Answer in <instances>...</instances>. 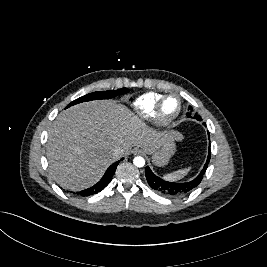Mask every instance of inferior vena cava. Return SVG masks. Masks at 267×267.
<instances>
[{
  "label": "inferior vena cava",
  "mask_w": 267,
  "mask_h": 267,
  "mask_svg": "<svg viewBox=\"0 0 267 267\" xmlns=\"http://www.w3.org/2000/svg\"><path fill=\"white\" fill-rule=\"evenodd\" d=\"M123 153V150L120 147L114 149L113 154L115 156H120Z\"/></svg>",
  "instance_id": "inferior-vena-cava-1"
}]
</instances>
